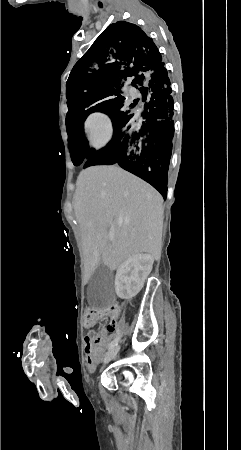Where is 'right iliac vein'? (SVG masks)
<instances>
[{
  "label": "right iliac vein",
  "instance_id": "right-iliac-vein-1",
  "mask_svg": "<svg viewBox=\"0 0 241 450\" xmlns=\"http://www.w3.org/2000/svg\"><path fill=\"white\" fill-rule=\"evenodd\" d=\"M119 349H120L119 346H117L111 349L108 353H106L104 357V363H108L110 360L115 358L119 352Z\"/></svg>",
  "mask_w": 241,
  "mask_h": 450
}]
</instances>
